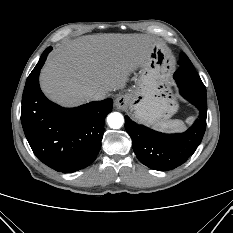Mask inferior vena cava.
I'll return each instance as SVG.
<instances>
[{
  "mask_svg": "<svg viewBox=\"0 0 233 233\" xmlns=\"http://www.w3.org/2000/svg\"><path fill=\"white\" fill-rule=\"evenodd\" d=\"M107 97V92L104 90H99L91 95L92 100H103Z\"/></svg>",
  "mask_w": 233,
  "mask_h": 233,
  "instance_id": "1",
  "label": "inferior vena cava"
}]
</instances>
